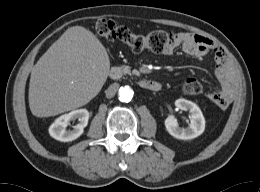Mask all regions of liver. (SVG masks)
I'll list each match as a JSON object with an SVG mask.
<instances>
[{
	"mask_svg": "<svg viewBox=\"0 0 260 192\" xmlns=\"http://www.w3.org/2000/svg\"><path fill=\"white\" fill-rule=\"evenodd\" d=\"M109 71V56L99 39L82 26L68 28L32 69V114L50 117L87 104L100 92Z\"/></svg>",
	"mask_w": 260,
	"mask_h": 192,
	"instance_id": "1",
	"label": "liver"
}]
</instances>
